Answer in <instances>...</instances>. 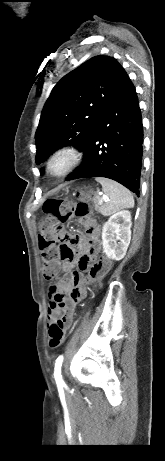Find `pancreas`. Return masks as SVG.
Wrapping results in <instances>:
<instances>
[{
    "instance_id": "cf45deb5",
    "label": "pancreas",
    "mask_w": 165,
    "mask_h": 461,
    "mask_svg": "<svg viewBox=\"0 0 165 461\" xmlns=\"http://www.w3.org/2000/svg\"><path fill=\"white\" fill-rule=\"evenodd\" d=\"M93 201H94L95 210L101 212V208H102V207L98 204L99 198H94Z\"/></svg>"
}]
</instances>
